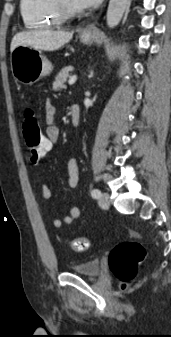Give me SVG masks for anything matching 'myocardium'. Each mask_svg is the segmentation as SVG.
Instances as JSON below:
<instances>
[{"mask_svg":"<svg viewBox=\"0 0 171 337\" xmlns=\"http://www.w3.org/2000/svg\"><path fill=\"white\" fill-rule=\"evenodd\" d=\"M55 2L57 10L63 20L74 18L79 14V10L70 5L66 0H55Z\"/></svg>","mask_w":171,"mask_h":337,"instance_id":"myocardium-1","label":"myocardium"}]
</instances>
